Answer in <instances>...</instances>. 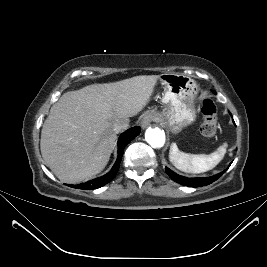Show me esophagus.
Masks as SVG:
<instances>
[{"instance_id": "obj_1", "label": "esophagus", "mask_w": 267, "mask_h": 267, "mask_svg": "<svg viewBox=\"0 0 267 267\" xmlns=\"http://www.w3.org/2000/svg\"><path fill=\"white\" fill-rule=\"evenodd\" d=\"M154 118H155V116L153 114H151V113L145 114L143 119H142V122H141L142 128H146L147 126H149L150 123L152 121H154Z\"/></svg>"}]
</instances>
